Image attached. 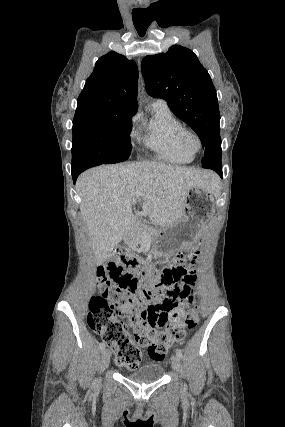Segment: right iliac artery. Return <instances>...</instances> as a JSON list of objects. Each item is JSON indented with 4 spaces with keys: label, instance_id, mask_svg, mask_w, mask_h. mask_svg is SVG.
Returning <instances> with one entry per match:
<instances>
[{
    "label": "right iliac artery",
    "instance_id": "obj_1",
    "mask_svg": "<svg viewBox=\"0 0 285 427\" xmlns=\"http://www.w3.org/2000/svg\"><path fill=\"white\" fill-rule=\"evenodd\" d=\"M104 347H105V343H104V342H101V343L99 344V350H100V351H102V350L104 349Z\"/></svg>",
    "mask_w": 285,
    "mask_h": 427
}]
</instances>
